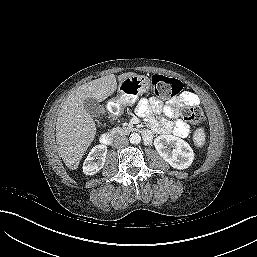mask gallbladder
<instances>
[{
    "mask_svg": "<svg viewBox=\"0 0 257 257\" xmlns=\"http://www.w3.org/2000/svg\"><path fill=\"white\" fill-rule=\"evenodd\" d=\"M84 109L92 117H98L101 113V106L99 101L95 98L89 97L86 98L83 102Z\"/></svg>",
    "mask_w": 257,
    "mask_h": 257,
    "instance_id": "bac80fb5",
    "label": "gallbladder"
}]
</instances>
